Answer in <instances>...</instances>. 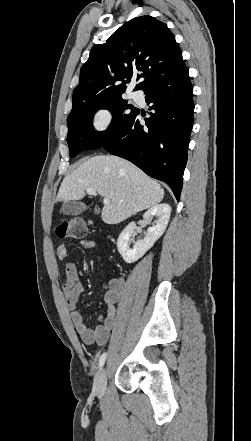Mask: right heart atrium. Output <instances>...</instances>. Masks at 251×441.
Listing matches in <instances>:
<instances>
[{"instance_id":"right-heart-atrium-1","label":"right heart atrium","mask_w":251,"mask_h":441,"mask_svg":"<svg viewBox=\"0 0 251 441\" xmlns=\"http://www.w3.org/2000/svg\"><path fill=\"white\" fill-rule=\"evenodd\" d=\"M112 122V113L108 108L97 109L91 118V127L96 132L106 131Z\"/></svg>"}]
</instances>
